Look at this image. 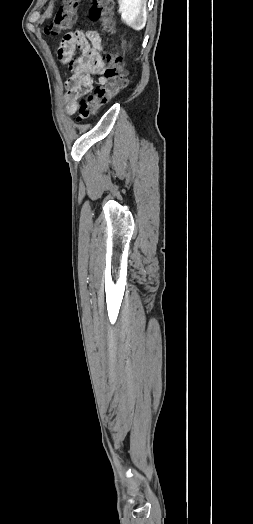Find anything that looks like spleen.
Wrapping results in <instances>:
<instances>
[{
    "instance_id": "obj_1",
    "label": "spleen",
    "mask_w": 253,
    "mask_h": 524,
    "mask_svg": "<svg viewBox=\"0 0 253 524\" xmlns=\"http://www.w3.org/2000/svg\"><path fill=\"white\" fill-rule=\"evenodd\" d=\"M122 21L132 29L139 31L146 25L147 14L143 0H118Z\"/></svg>"
}]
</instances>
